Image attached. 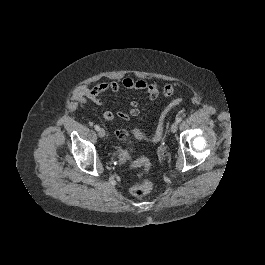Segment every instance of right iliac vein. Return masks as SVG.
I'll use <instances>...</instances> for the list:
<instances>
[{
    "label": "right iliac vein",
    "mask_w": 265,
    "mask_h": 265,
    "mask_svg": "<svg viewBox=\"0 0 265 265\" xmlns=\"http://www.w3.org/2000/svg\"><path fill=\"white\" fill-rule=\"evenodd\" d=\"M98 135L100 138H104L105 137V130L103 128H100L98 130Z\"/></svg>",
    "instance_id": "63e3f726"
}]
</instances>
